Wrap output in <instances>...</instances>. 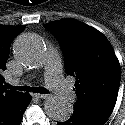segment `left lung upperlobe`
Segmentation results:
<instances>
[{
  "instance_id": "5c2ea615",
  "label": "left lung upper lobe",
  "mask_w": 125,
  "mask_h": 125,
  "mask_svg": "<svg viewBox=\"0 0 125 125\" xmlns=\"http://www.w3.org/2000/svg\"><path fill=\"white\" fill-rule=\"evenodd\" d=\"M61 43L65 71L76 78L78 100L74 108L109 117L120 84L119 61L107 38L75 19L44 24Z\"/></svg>"
}]
</instances>
